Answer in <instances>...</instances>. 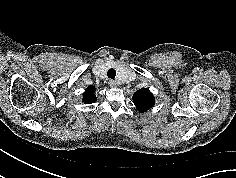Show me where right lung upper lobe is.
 <instances>
[{
  "mask_svg": "<svg viewBox=\"0 0 236 178\" xmlns=\"http://www.w3.org/2000/svg\"><path fill=\"white\" fill-rule=\"evenodd\" d=\"M95 88L93 86H89L83 94L84 103H94L97 98L94 94Z\"/></svg>",
  "mask_w": 236,
  "mask_h": 178,
  "instance_id": "right-lung-upper-lobe-1",
  "label": "right lung upper lobe"
}]
</instances>
